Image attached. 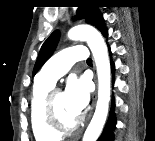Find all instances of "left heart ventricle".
I'll list each match as a JSON object with an SVG mask.
<instances>
[{"label": "left heart ventricle", "instance_id": "b2bd125f", "mask_svg": "<svg viewBox=\"0 0 155 141\" xmlns=\"http://www.w3.org/2000/svg\"><path fill=\"white\" fill-rule=\"evenodd\" d=\"M54 106L60 121L64 125H71L78 116L70 109L63 93H57L54 97Z\"/></svg>", "mask_w": 155, "mask_h": 141}]
</instances>
